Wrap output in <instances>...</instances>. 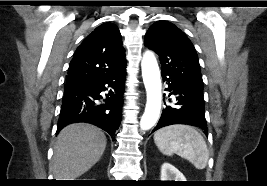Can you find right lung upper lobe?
<instances>
[{"label":"right lung upper lobe","mask_w":267,"mask_h":186,"mask_svg":"<svg viewBox=\"0 0 267 186\" xmlns=\"http://www.w3.org/2000/svg\"><path fill=\"white\" fill-rule=\"evenodd\" d=\"M126 65L121 34L112 23L97 27L76 49L66 82L101 75Z\"/></svg>","instance_id":"obj_1"}]
</instances>
